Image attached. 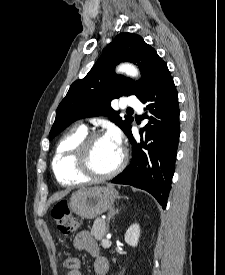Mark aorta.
<instances>
[{
	"label": "aorta",
	"mask_w": 225,
	"mask_h": 275,
	"mask_svg": "<svg viewBox=\"0 0 225 275\" xmlns=\"http://www.w3.org/2000/svg\"><path fill=\"white\" fill-rule=\"evenodd\" d=\"M120 73H125L130 77H137L139 75L138 69L131 64H122L117 69Z\"/></svg>",
	"instance_id": "1"
}]
</instances>
